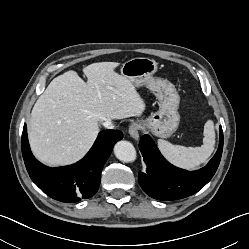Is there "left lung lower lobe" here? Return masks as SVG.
<instances>
[{
	"mask_svg": "<svg viewBox=\"0 0 249 249\" xmlns=\"http://www.w3.org/2000/svg\"><path fill=\"white\" fill-rule=\"evenodd\" d=\"M139 149L147 166L146 172L138 175L144 192L154 199L164 201L185 198L198 192L215 174L223 150L222 127L216 154L205 167L196 171H186L171 165L148 135L141 137Z\"/></svg>",
	"mask_w": 249,
	"mask_h": 249,
	"instance_id": "1",
	"label": "left lung lower lobe"
}]
</instances>
